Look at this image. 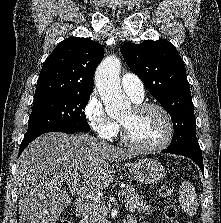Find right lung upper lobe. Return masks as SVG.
Instances as JSON below:
<instances>
[{
  "mask_svg": "<svg viewBox=\"0 0 221 223\" xmlns=\"http://www.w3.org/2000/svg\"><path fill=\"white\" fill-rule=\"evenodd\" d=\"M103 56V47L89 38L62 41L44 62L34 99L91 93L93 76Z\"/></svg>",
  "mask_w": 221,
  "mask_h": 223,
  "instance_id": "1",
  "label": "right lung upper lobe"
}]
</instances>
